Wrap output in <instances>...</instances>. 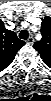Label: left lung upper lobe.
<instances>
[{
  "label": "left lung upper lobe",
  "instance_id": "5c2ea615",
  "mask_svg": "<svg viewBox=\"0 0 51 101\" xmlns=\"http://www.w3.org/2000/svg\"><path fill=\"white\" fill-rule=\"evenodd\" d=\"M42 39L34 44L46 65H51V18L42 19L41 27Z\"/></svg>",
  "mask_w": 51,
  "mask_h": 101
}]
</instances>
